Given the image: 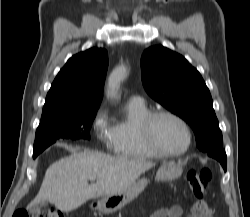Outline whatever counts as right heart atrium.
Listing matches in <instances>:
<instances>
[{
    "label": "right heart atrium",
    "instance_id": "right-heart-atrium-1",
    "mask_svg": "<svg viewBox=\"0 0 250 217\" xmlns=\"http://www.w3.org/2000/svg\"><path fill=\"white\" fill-rule=\"evenodd\" d=\"M96 138L104 145L110 146L112 142L111 125L108 120V111L104 106L99 107L91 122Z\"/></svg>",
    "mask_w": 250,
    "mask_h": 217
}]
</instances>
